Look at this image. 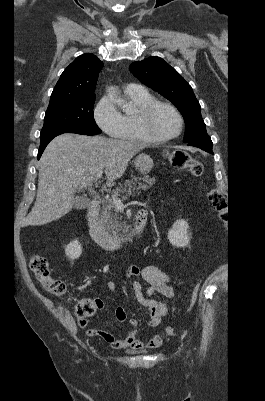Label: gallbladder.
Masks as SVG:
<instances>
[{
	"label": "gallbladder",
	"instance_id": "gallbladder-1",
	"mask_svg": "<svg viewBox=\"0 0 265 401\" xmlns=\"http://www.w3.org/2000/svg\"><path fill=\"white\" fill-rule=\"evenodd\" d=\"M89 205H91V201L87 196H77V198H75L74 209H87Z\"/></svg>",
	"mask_w": 265,
	"mask_h": 401
}]
</instances>
